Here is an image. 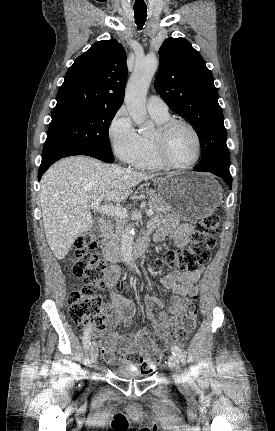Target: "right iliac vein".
I'll return each mask as SVG.
<instances>
[{
    "instance_id": "right-iliac-vein-1",
    "label": "right iliac vein",
    "mask_w": 275,
    "mask_h": 431,
    "mask_svg": "<svg viewBox=\"0 0 275 431\" xmlns=\"http://www.w3.org/2000/svg\"><path fill=\"white\" fill-rule=\"evenodd\" d=\"M90 358L92 363H96L98 358V345L97 343H92L90 348Z\"/></svg>"
}]
</instances>
